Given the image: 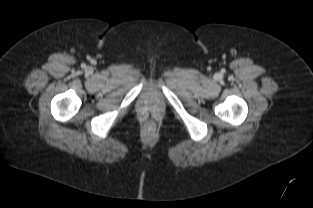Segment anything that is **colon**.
I'll return each instance as SVG.
<instances>
[{
	"instance_id": "5ec220e1",
	"label": "colon",
	"mask_w": 313,
	"mask_h": 208,
	"mask_svg": "<svg viewBox=\"0 0 313 208\" xmlns=\"http://www.w3.org/2000/svg\"><path fill=\"white\" fill-rule=\"evenodd\" d=\"M147 128H148L149 130H154V129H155L154 123H149V124L147 125Z\"/></svg>"
}]
</instances>
